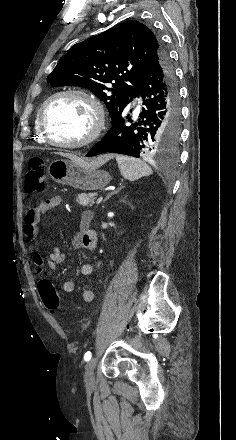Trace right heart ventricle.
Returning a JSON list of instances; mask_svg holds the SVG:
<instances>
[{"label": "right heart ventricle", "mask_w": 236, "mask_h": 440, "mask_svg": "<svg viewBox=\"0 0 236 440\" xmlns=\"http://www.w3.org/2000/svg\"><path fill=\"white\" fill-rule=\"evenodd\" d=\"M38 113H37L36 118H35V135H36V138H37L38 142L44 143L46 141H45V139H44V137H43V135L41 133V130H40V127H39V124H38Z\"/></svg>", "instance_id": "e07e8e85"}]
</instances>
